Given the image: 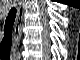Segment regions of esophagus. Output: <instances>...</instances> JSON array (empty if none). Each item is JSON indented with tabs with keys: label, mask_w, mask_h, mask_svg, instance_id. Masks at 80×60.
<instances>
[{
	"label": "esophagus",
	"mask_w": 80,
	"mask_h": 60,
	"mask_svg": "<svg viewBox=\"0 0 80 60\" xmlns=\"http://www.w3.org/2000/svg\"><path fill=\"white\" fill-rule=\"evenodd\" d=\"M24 12H25L24 2L18 1V12L13 31V51L16 50L21 38Z\"/></svg>",
	"instance_id": "esophagus-1"
}]
</instances>
